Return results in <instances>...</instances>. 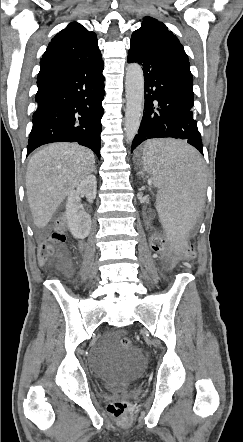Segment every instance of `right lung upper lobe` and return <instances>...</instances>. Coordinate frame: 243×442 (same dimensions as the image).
Wrapping results in <instances>:
<instances>
[{"instance_id":"right-lung-upper-lobe-1","label":"right lung upper lobe","mask_w":243,"mask_h":442,"mask_svg":"<svg viewBox=\"0 0 243 442\" xmlns=\"http://www.w3.org/2000/svg\"><path fill=\"white\" fill-rule=\"evenodd\" d=\"M100 60L96 34L72 22L49 43L41 59L38 76Z\"/></svg>"}]
</instances>
